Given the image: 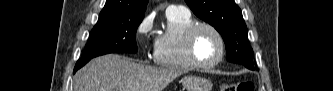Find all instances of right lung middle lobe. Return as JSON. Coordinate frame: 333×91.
<instances>
[{
    "label": "right lung middle lobe",
    "mask_w": 333,
    "mask_h": 91,
    "mask_svg": "<svg viewBox=\"0 0 333 91\" xmlns=\"http://www.w3.org/2000/svg\"><path fill=\"white\" fill-rule=\"evenodd\" d=\"M143 16L129 18H99L93 27L81 59L108 53H136V30Z\"/></svg>",
    "instance_id": "1"
}]
</instances>
